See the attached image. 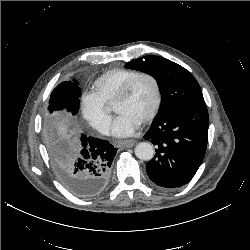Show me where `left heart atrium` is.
Here are the masks:
<instances>
[{
  "instance_id": "obj_1",
  "label": "left heart atrium",
  "mask_w": 250,
  "mask_h": 250,
  "mask_svg": "<svg viewBox=\"0 0 250 250\" xmlns=\"http://www.w3.org/2000/svg\"><path fill=\"white\" fill-rule=\"evenodd\" d=\"M139 122L126 114H119L114 121L112 133L118 137L132 135L139 126Z\"/></svg>"
}]
</instances>
